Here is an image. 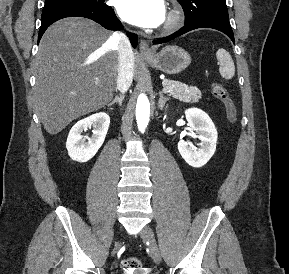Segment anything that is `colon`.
Masks as SVG:
<instances>
[{
  "mask_svg": "<svg viewBox=\"0 0 289 274\" xmlns=\"http://www.w3.org/2000/svg\"><path fill=\"white\" fill-rule=\"evenodd\" d=\"M210 88L212 95L223 103L228 121L234 124L237 121V108L227 89L217 82H212ZM141 267V262L136 257H128L122 261V268L131 273L139 271Z\"/></svg>",
  "mask_w": 289,
  "mask_h": 274,
  "instance_id": "obj_1",
  "label": "colon"
}]
</instances>
